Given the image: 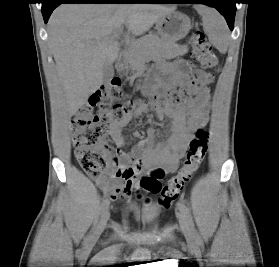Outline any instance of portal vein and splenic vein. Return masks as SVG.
<instances>
[{
  "label": "portal vein and splenic vein",
  "instance_id": "portal-vein-and-splenic-vein-1",
  "mask_svg": "<svg viewBox=\"0 0 279 267\" xmlns=\"http://www.w3.org/2000/svg\"><path fill=\"white\" fill-rule=\"evenodd\" d=\"M122 32H123V29H122V28L117 29V30L114 32L113 37H115V38L119 37V36L122 34Z\"/></svg>",
  "mask_w": 279,
  "mask_h": 267
}]
</instances>
